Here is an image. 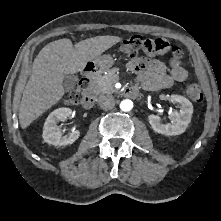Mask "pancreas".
<instances>
[{
	"instance_id": "1",
	"label": "pancreas",
	"mask_w": 221,
	"mask_h": 221,
	"mask_svg": "<svg viewBox=\"0 0 221 221\" xmlns=\"http://www.w3.org/2000/svg\"><path fill=\"white\" fill-rule=\"evenodd\" d=\"M117 69H111L107 74H99L91 83V90L95 95L98 94H112L116 91L114 83L117 80L115 72Z\"/></svg>"
}]
</instances>
